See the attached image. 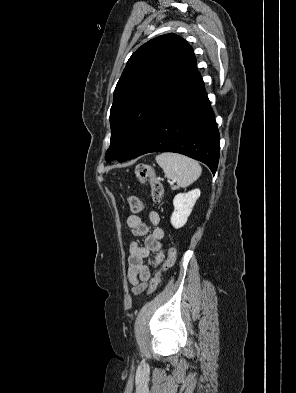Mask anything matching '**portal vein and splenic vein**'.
Returning a JSON list of instances; mask_svg holds the SVG:
<instances>
[{
    "label": "portal vein and splenic vein",
    "mask_w": 296,
    "mask_h": 393,
    "mask_svg": "<svg viewBox=\"0 0 296 393\" xmlns=\"http://www.w3.org/2000/svg\"><path fill=\"white\" fill-rule=\"evenodd\" d=\"M170 183H171V184H173V183H174V181H171Z\"/></svg>",
    "instance_id": "obj_1"
}]
</instances>
